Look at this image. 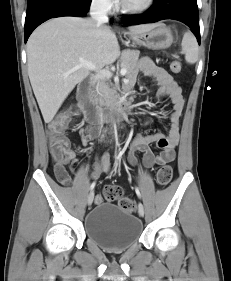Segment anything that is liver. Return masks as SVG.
Segmentation results:
<instances>
[{
  "label": "liver",
  "instance_id": "obj_1",
  "mask_svg": "<svg viewBox=\"0 0 231 281\" xmlns=\"http://www.w3.org/2000/svg\"><path fill=\"white\" fill-rule=\"evenodd\" d=\"M153 27L137 25L129 31L141 33ZM119 54L115 33L92 19L58 17L40 25L27 42V63L44 121L53 120L68 94L88 76L91 69L79 67L80 59L102 68L114 63Z\"/></svg>",
  "mask_w": 231,
  "mask_h": 281
}]
</instances>
